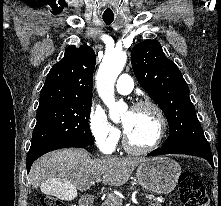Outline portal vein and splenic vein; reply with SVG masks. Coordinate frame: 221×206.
Returning a JSON list of instances; mask_svg holds the SVG:
<instances>
[{
	"instance_id": "18ae733b",
	"label": "portal vein and splenic vein",
	"mask_w": 221,
	"mask_h": 206,
	"mask_svg": "<svg viewBox=\"0 0 221 206\" xmlns=\"http://www.w3.org/2000/svg\"><path fill=\"white\" fill-rule=\"evenodd\" d=\"M109 197L113 198L111 194H109ZM153 198H154L153 196H148V199H150V200Z\"/></svg>"
}]
</instances>
